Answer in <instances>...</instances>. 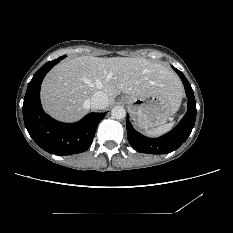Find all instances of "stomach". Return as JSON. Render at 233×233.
I'll return each instance as SVG.
<instances>
[{"label": "stomach", "mask_w": 233, "mask_h": 233, "mask_svg": "<svg viewBox=\"0 0 233 233\" xmlns=\"http://www.w3.org/2000/svg\"><path fill=\"white\" fill-rule=\"evenodd\" d=\"M122 100L136 118L138 127L148 129L166 123L178 107L161 94L148 96L125 95Z\"/></svg>", "instance_id": "0dacf381"}]
</instances>
